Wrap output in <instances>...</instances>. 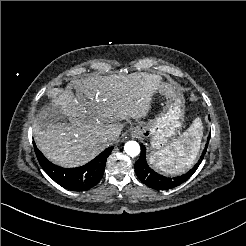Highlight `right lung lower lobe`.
I'll return each instance as SVG.
<instances>
[{
	"instance_id": "obj_1",
	"label": "right lung lower lobe",
	"mask_w": 246,
	"mask_h": 246,
	"mask_svg": "<svg viewBox=\"0 0 246 246\" xmlns=\"http://www.w3.org/2000/svg\"><path fill=\"white\" fill-rule=\"evenodd\" d=\"M34 147L37 159L45 172L59 185L73 191L88 190L101 180L107 157L113 150V147H109L86 165L66 169L52 164L36 145Z\"/></svg>"
}]
</instances>
